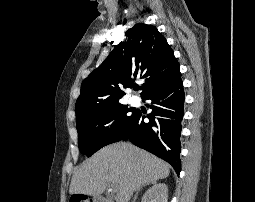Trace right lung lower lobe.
<instances>
[{
  "label": "right lung lower lobe",
  "instance_id": "obj_1",
  "mask_svg": "<svg viewBox=\"0 0 255 202\" xmlns=\"http://www.w3.org/2000/svg\"><path fill=\"white\" fill-rule=\"evenodd\" d=\"M142 98L151 101V104L147 105L152 109L151 114L147 116L150 121L145 123L143 121L145 116L137 111L136 118L123 139H131L136 146L167 161L179 175L181 170L179 138L185 98L182 80L179 78Z\"/></svg>",
  "mask_w": 255,
  "mask_h": 202
}]
</instances>
